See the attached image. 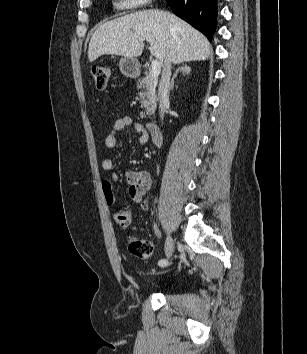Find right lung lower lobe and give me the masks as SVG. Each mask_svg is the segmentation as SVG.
<instances>
[{"label": "right lung lower lobe", "mask_w": 307, "mask_h": 354, "mask_svg": "<svg viewBox=\"0 0 307 354\" xmlns=\"http://www.w3.org/2000/svg\"><path fill=\"white\" fill-rule=\"evenodd\" d=\"M172 11L209 40L216 29L217 0H166Z\"/></svg>", "instance_id": "1"}]
</instances>
